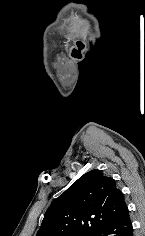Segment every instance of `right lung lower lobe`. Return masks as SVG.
Listing matches in <instances>:
<instances>
[{
    "instance_id": "obj_1",
    "label": "right lung lower lobe",
    "mask_w": 145,
    "mask_h": 236,
    "mask_svg": "<svg viewBox=\"0 0 145 236\" xmlns=\"http://www.w3.org/2000/svg\"><path fill=\"white\" fill-rule=\"evenodd\" d=\"M94 236H133L128 208L101 228Z\"/></svg>"
}]
</instances>
